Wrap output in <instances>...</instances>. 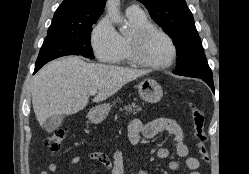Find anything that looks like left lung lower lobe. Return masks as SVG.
I'll use <instances>...</instances> for the list:
<instances>
[{
	"mask_svg": "<svg viewBox=\"0 0 249 174\" xmlns=\"http://www.w3.org/2000/svg\"><path fill=\"white\" fill-rule=\"evenodd\" d=\"M200 79L205 81L210 86L212 91L214 92L213 78H200Z\"/></svg>",
	"mask_w": 249,
	"mask_h": 174,
	"instance_id": "left-lung-lower-lobe-1",
	"label": "left lung lower lobe"
}]
</instances>
